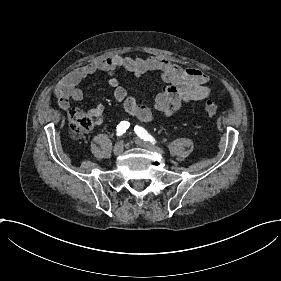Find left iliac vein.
Returning a JSON list of instances; mask_svg holds the SVG:
<instances>
[{
	"mask_svg": "<svg viewBox=\"0 0 281 281\" xmlns=\"http://www.w3.org/2000/svg\"><path fill=\"white\" fill-rule=\"evenodd\" d=\"M135 143H137V145L143 146V148H147L151 151L156 150L158 153L164 152L162 149L160 150V148L156 147V145H152L148 141L141 140L140 138H135Z\"/></svg>",
	"mask_w": 281,
	"mask_h": 281,
	"instance_id": "obj_1",
	"label": "left iliac vein"
}]
</instances>
